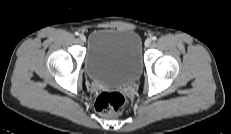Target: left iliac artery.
Returning a JSON list of instances; mask_svg holds the SVG:
<instances>
[{
	"instance_id": "1",
	"label": "left iliac artery",
	"mask_w": 231,
	"mask_h": 134,
	"mask_svg": "<svg viewBox=\"0 0 231 134\" xmlns=\"http://www.w3.org/2000/svg\"><path fill=\"white\" fill-rule=\"evenodd\" d=\"M156 39H157L156 36H153V37H152V40H153V41H155Z\"/></svg>"
}]
</instances>
